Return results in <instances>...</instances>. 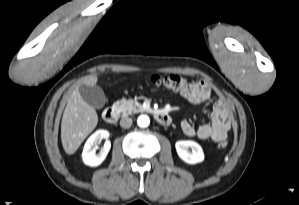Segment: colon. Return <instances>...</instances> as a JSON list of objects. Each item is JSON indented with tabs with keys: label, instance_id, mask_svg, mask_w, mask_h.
<instances>
[{
	"label": "colon",
	"instance_id": "5ec220e1",
	"mask_svg": "<svg viewBox=\"0 0 299 205\" xmlns=\"http://www.w3.org/2000/svg\"><path fill=\"white\" fill-rule=\"evenodd\" d=\"M150 83L157 88H163L172 91H182L191 85L194 81L185 78L178 74L170 75H152L150 77ZM227 146V140H221L218 142V147L223 149Z\"/></svg>",
	"mask_w": 299,
	"mask_h": 205
}]
</instances>
